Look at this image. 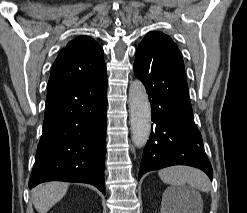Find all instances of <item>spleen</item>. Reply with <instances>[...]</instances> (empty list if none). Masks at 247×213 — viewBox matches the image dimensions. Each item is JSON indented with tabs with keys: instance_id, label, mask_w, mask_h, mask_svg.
<instances>
[{
	"instance_id": "3e777b00",
	"label": "spleen",
	"mask_w": 247,
	"mask_h": 213,
	"mask_svg": "<svg viewBox=\"0 0 247 213\" xmlns=\"http://www.w3.org/2000/svg\"><path fill=\"white\" fill-rule=\"evenodd\" d=\"M158 174L163 182L175 187H182L187 183L191 187L203 192H209L211 188V183L207 175L196 168L171 166L160 170ZM181 206L182 204L179 203L180 212H185Z\"/></svg>"
}]
</instances>
